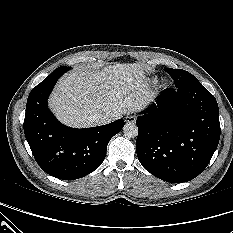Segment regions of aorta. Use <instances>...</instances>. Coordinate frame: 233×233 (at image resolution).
Masks as SVG:
<instances>
[{
    "label": "aorta",
    "instance_id": "762f6f07",
    "mask_svg": "<svg viewBox=\"0 0 233 233\" xmlns=\"http://www.w3.org/2000/svg\"><path fill=\"white\" fill-rule=\"evenodd\" d=\"M123 133L127 138H135L138 135V127L134 123H127L123 127Z\"/></svg>",
    "mask_w": 233,
    "mask_h": 233
}]
</instances>
